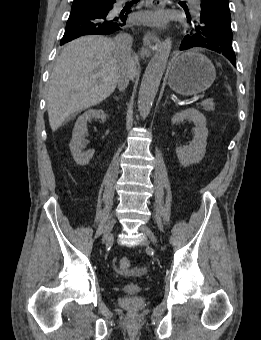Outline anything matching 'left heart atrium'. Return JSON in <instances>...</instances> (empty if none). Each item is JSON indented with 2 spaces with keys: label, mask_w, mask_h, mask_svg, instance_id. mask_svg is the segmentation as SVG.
<instances>
[{
  "label": "left heart atrium",
  "mask_w": 261,
  "mask_h": 340,
  "mask_svg": "<svg viewBox=\"0 0 261 340\" xmlns=\"http://www.w3.org/2000/svg\"><path fill=\"white\" fill-rule=\"evenodd\" d=\"M166 20L167 15L163 11L146 12L142 15V21L151 26L160 27Z\"/></svg>",
  "instance_id": "obj_1"
}]
</instances>
